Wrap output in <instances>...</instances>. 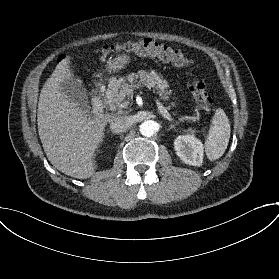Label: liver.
<instances>
[{
    "mask_svg": "<svg viewBox=\"0 0 279 279\" xmlns=\"http://www.w3.org/2000/svg\"><path fill=\"white\" fill-rule=\"evenodd\" d=\"M70 57L57 64L47 79L38 102L39 137L51 164L62 173L86 179L95 173L93 157L103 141L104 128L113 115L94 119L61 92V83L71 79Z\"/></svg>",
    "mask_w": 279,
    "mask_h": 279,
    "instance_id": "6515ba94",
    "label": "liver"
}]
</instances>
